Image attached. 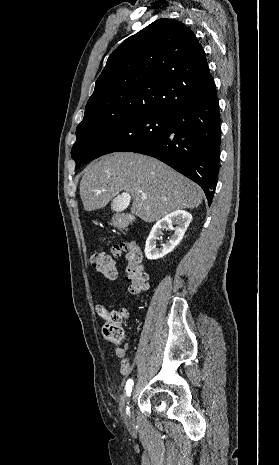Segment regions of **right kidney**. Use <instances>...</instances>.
<instances>
[{
  "instance_id": "1",
  "label": "right kidney",
  "mask_w": 279,
  "mask_h": 465,
  "mask_svg": "<svg viewBox=\"0 0 279 465\" xmlns=\"http://www.w3.org/2000/svg\"><path fill=\"white\" fill-rule=\"evenodd\" d=\"M192 215L184 210H176L167 214L162 219L158 220L152 227L151 232L146 240L145 255L149 260H156L170 253L182 240L190 222ZM176 225V227H173ZM166 228L174 230L166 244L162 248L156 247V241L162 235V231Z\"/></svg>"
}]
</instances>
